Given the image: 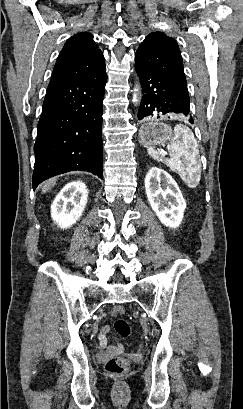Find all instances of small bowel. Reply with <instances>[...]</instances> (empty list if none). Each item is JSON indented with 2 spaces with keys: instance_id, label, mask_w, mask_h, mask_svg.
<instances>
[{
  "instance_id": "obj_1",
  "label": "small bowel",
  "mask_w": 243,
  "mask_h": 409,
  "mask_svg": "<svg viewBox=\"0 0 243 409\" xmlns=\"http://www.w3.org/2000/svg\"><path fill=\"white\" fill-rule=\"evenodd\" d=\"M110 331V325L106 324L101 327L98 335V341L99 345L102 349H104L107 353L110 354H116V353H121L125 346L121 343H118L116 345H108L107 341V333Z\"/></svg>"
}]
</instances>
